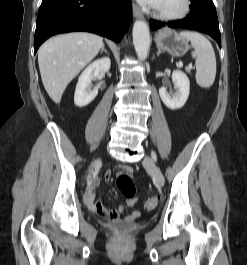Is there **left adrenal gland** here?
<instances>
[{"instance_id":"obj_1","label":"left adrenal gland","mask_w":247,"mask_h":265,"mask_svg":"<svg viewBox=\"0 0 247 265\" xmlns=\"http://www.w3.org/2000/svg\"><path fill=\"white\" fill-rule=\"evenodd\" d=\"M160 53H161V49L158 48L157 56H160Z\"/></svg>"}]
</instances>
